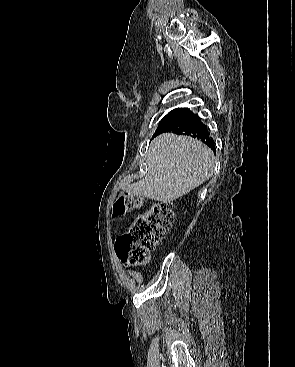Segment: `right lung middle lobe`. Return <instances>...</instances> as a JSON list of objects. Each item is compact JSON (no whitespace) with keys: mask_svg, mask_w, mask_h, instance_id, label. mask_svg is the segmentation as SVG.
<instances>
[{"mask_svg":"<svg viewBox=\"0 0 295 367\" xmlns=\"http://www.w3.org/2000/svg\"><path fill=\"white\" fill-rule=\"evenodd\" d=\"M177 109L172 110L171 112H169L161 121H160V125L166 120L168 119Z\"/></svg>","mask_w":295,"mask_h":367,"instance_id":"obj_1","label":"right lung middle lobe"}]
</instances>
